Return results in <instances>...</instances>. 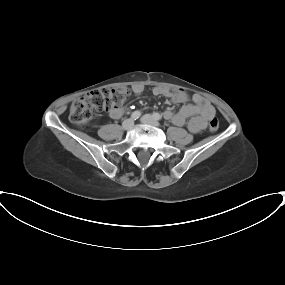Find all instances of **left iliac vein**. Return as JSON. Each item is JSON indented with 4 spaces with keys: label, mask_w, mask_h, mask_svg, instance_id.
<instances>
[{
    "label": "left iliac vein",
    "mask_w": 285,
    "mask_h": 285,
    "mask_svg": "<svg viewBox=\"0 0 285 285\" xmlns=\"http://www.w3.org/2000/svg\"><path fill=\"white\" fill-rule=\"evenodd\" d=\"M141 122L144 123V124H148V125H151V126H154V127H158L159 126V122L154 119L153 116L149 115V114H146L144 116L141 117Z\"/></svg>",
    "instance_id": "4c4485c4"
}]
</instances>
